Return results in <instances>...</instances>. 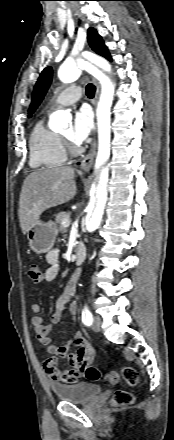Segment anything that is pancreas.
Masks as SVG:
<instances>
[{"label":"pancreas","mask_w":174,"mask_h":440,"mask_svg":"<svg viewBox=\"0 0 174 440\" xmlns=\"http://www.w3.org/2000/svg\"><path fill=\"white\" fill-rule=\"evenodd\" d=\"M70 214L67 212H60L55 217V224L58 226L60 232L65 233L67 231L66 227L62 225L64 219H69Z\"/></svg>","instance_id":"pancreas-1"}]
</instances>
